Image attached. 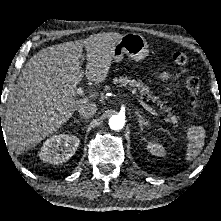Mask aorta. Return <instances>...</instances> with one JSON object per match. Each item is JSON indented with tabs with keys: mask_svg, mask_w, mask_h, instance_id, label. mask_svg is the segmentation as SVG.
I'll return each mask as SVG.
<instances>
[{
	"mask_svg": "<svg viewBox=\"0 0 221 221\" xmlns=\"http://www.w3.org/2000/svg\"><path fill=\"white\" fill-rule=\"evenodd\" d=\"M125 125V117L122 114H116L110 117L109 127L114 131L121 130Z\"/></svg>",
	"mask_w": 221,
	"mask_h": 221,
	"instance_id": "762f6f07",
	"label": "aorta"
}]
</instances>
